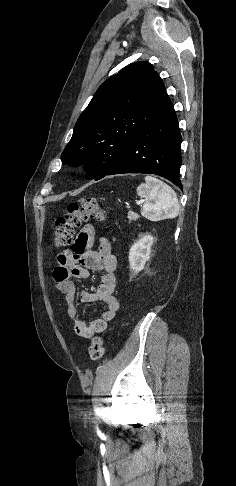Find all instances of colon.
<instances>
[{"mask_svg": "<svg viewBox=\"0 0 236 486\" xmlns=\"http://www.w3.org/2000/svg\"><path fill=\"white\" fill-rule=\"evenodd\" d=\"M105 220V212L100 207L96 199H80L69 204L65 216L56 220L54 232V245L62 248L73 242L75 231L84 222L89 220ZM104 353V339L102 336L93 338L89 348L90 358L98 361Z\"/></svg>", "mask_w": 236, "mask_h": 486, "instance_id": "obj_1", "label": "colon"}]
</instances>
